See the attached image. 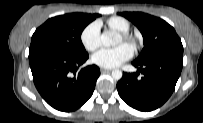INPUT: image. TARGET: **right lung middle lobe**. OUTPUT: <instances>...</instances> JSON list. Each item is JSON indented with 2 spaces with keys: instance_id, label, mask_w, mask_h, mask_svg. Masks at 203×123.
Returning a JSON list of instances; mask_svg holds the SVG:
<instances>
[{
  "instance_id": "obj_1",
  "label": "right lung middle lobe",
  "mask_w": 203,
  "mask_h": 123,
  "mask_svg": "<svg viewBox=\"0 0 203 123\" xmlns=\"http://www.w3.org/2000/svg\"><path fill=\"white\" fill-rule=\"evenodd\" d=\"M99 15L70 13L47 20L36 29L30 49H43L70 56L87 54L81 42L84 28Z\"/></svg>"
}]
</instances>
